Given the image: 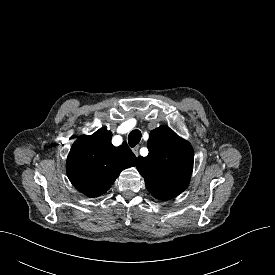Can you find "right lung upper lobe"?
<instances>
[{
    "label": "right lung upper lobe",
    "mask_w": 275,
    "mask_h": 275,
    "mask_svg": "<svg viewBox=\"0 0 275 275\" xmlns=\"http://www.w3.org/2000/svg\"><path fill=\"white\" fill-rule=\"evenodd\" d=\"M112 133L105 128L81 136L67 158V175L73 186L89 197L104 194L120 172L135 166L137 158L124 142L111 144Z\"/></svg>",
    "instance_id": "1"
}]
</instances>
